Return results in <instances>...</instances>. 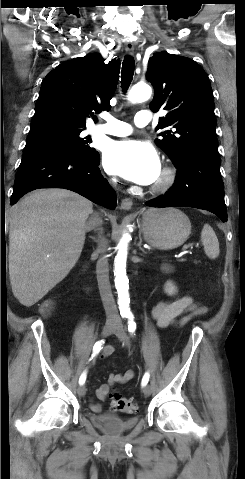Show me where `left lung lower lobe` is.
<instances>
[{
  "label": "left lung lower lobe",
  "mask_w": 245,
  "mask_h": 479,
  "mask_svg": "<svg viewBox=\"0 0 245 479\" xmlns=\"http://www.w3.org/2000/svg\"><path fill=\"white\" fill-rule=\"evenodd\" d=\"M172 188L146 202L150 207L186 206L208 210L227 221L224 184L218 151H200L185 157L178 166Z\"/></svg>",
  "instance_id": "0a47b994"
}]
</instances>
